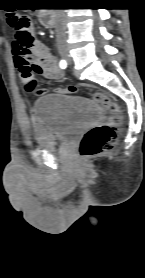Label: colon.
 <instances>
[{
	"instance_id": "obj_1",
	"label": "colon",
	"mask_w": 145,
	"mask_h": 278,
	"mask_svg": "<svg viewBox=\"0 0 145 278\" xmlns=\"http://www.w3.org/2000/svg\"><path fill=\"white\" fill-rule=\"evenodd\" d=\"M7 21L14 31L18 43L24 48H29L33 43V34L29 27L28 18L24 15L15 13L9 14ZM26 91L35 95L43 93V91L38 88L34 77H31L29 80ZM52 92L58 94H75L77 88H54ZM94 99L109 112L110 116L106 124L95 126L84 134L79 146V156L82 161H88L112 149L116 143V128L122 125L124 120L121 106L110 96L96 93Z\"/></svg>"
}]
</instances>
